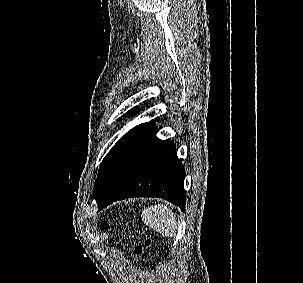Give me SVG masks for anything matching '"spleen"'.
I'll return each mask as SVG.
<instances>
[{"label":"spleen","instance_id":"obj_1","mask_svg":"<svg viewBox=\"0 0 303 283\" xmlns=\"http://www.w3.org/2000/svg\"><path fill=\"white\" fill-rule=\"evenodd\" d=\"M142 220L145 224L162 234L171 237L176 228V216L164 205L150 206L142 212Z\"/></svg>","mask_w":303,"mask_h":283}]
</instances>
